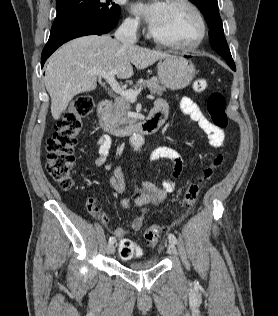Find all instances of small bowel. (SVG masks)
I'll list each match as a JSON object with an SVG mask.
<instances>
[{
	"label": "small bowel",
	"instance_id": "c3829d8e",
	"mask_svg": "<svg viewBox=\"0 0 278 316\" xmlns=\"http://www.w3.org/2000/svg\"><path fill=\"white\" fill-rule=\"evenodd\" d=\"M155 107L162 108L165 113L168 106L165 101L157 100ZM181 110L195 122L198 128L207 136L209 143L214 148H219L223 145L225 140L224 132L217 128L203 113L201 108L191 99L183 98L180 102ZM111 148V139L109 136H101L96 142V149L93 154L96 166H102L109 154ZM159 160H167L172 164V171L168 177L162 182V187L156 186L149 181H143L139 189L134 191V204L140 210L138 215L130 224V231H139L144 223V215L147 207L151 204H158L162 202L168 193L173 192L176 188L177 181L183 171L184 161L178 151L171 147L160 146L155 148L150 156V162ZM109 183L112 187L122 192L125 188L122 171L119 167H115L113 175L109 178ZM121 205L124 209L129 210L131 207V199L125 197L121 200ZM102 222L109 226L110 220L105 214H101ZM111 233L118 239H123L126 231L123 228H114Z\"/></svg>",
	"mask_w": 278,
	"mask_h": 316
}]
</instances>
